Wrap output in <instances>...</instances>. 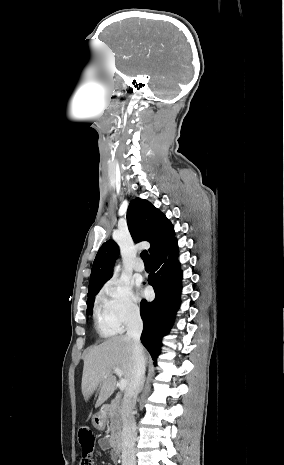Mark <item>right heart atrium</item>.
<instances>
[{
    "instance_id": "obj_1",
    "label": "right heart atrium",
    "mask_w": 284,
    "mask_h": 465,
    "mask_svg": "<svg viewBox=\"0 0 284 465\" xmlns=\"http://www.w3.org/2000/svg\"><path fill=\"white\" fill-rule=\"evenodd\" d=\"M96 303L106 311L120 331L134 325L141 318V308L134 301L130 287L117 279H111L103 285Z\"/></svg>"
}]
</instances>
